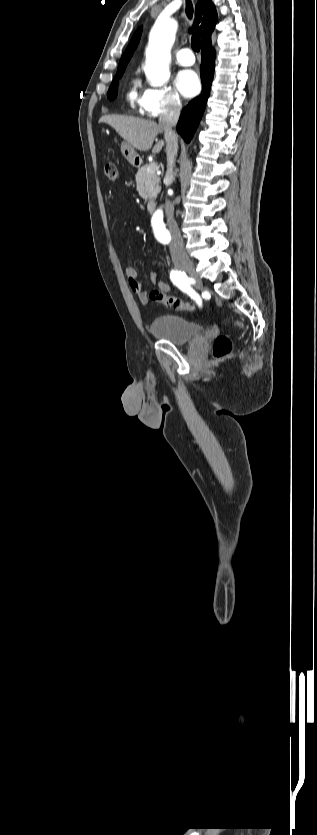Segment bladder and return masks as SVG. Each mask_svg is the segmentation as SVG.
<instances>
[{"label":"bladder","instance_id":"31cf9c89","mask_svg":"<svg viewBox=\"0 0 317 835\" xmlns=\"http://www.w3.org/2000/svg\"><path fill=\"white\" fill-rule=\"evenodd\" d=\"M154 337L167 340L175 345H185L202 335V327L193 321L177 315H162L151 324Z\"/></svg>","mask_w":317,"mask_h":835}]
</instances>
